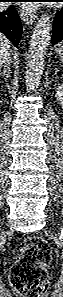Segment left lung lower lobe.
<instances>
[{"mask_svg": "<svg viewBox=\"0 0 63 297\" xmlns=\"http://www.w3.org/2000/svg\"><path fill=\"white\" fill-rule=\"evenodd\" d=\"M62 40H63V7L61 10L57 11L54 18L53 31H52V45Z\"/></svg>", "mask_w": 63, "mask_h": 297, "instance_id": "obj_1", "label": "left lung lower lobe"}]
</instances>
